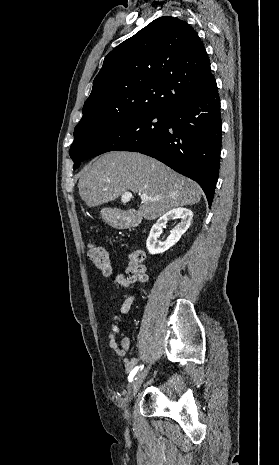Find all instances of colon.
Masks as SVG:
<instances>
[{
  "mask_svg": "<svg viewBox=\"0 0 279 465\" xmlns=\"http://www.w3.org/2000/svg\"><path fill=\"white\" fill-rule=\"evenodd\" d=\"M88 257L91 263L105 275L112 272L111 261L107 251L98 244H91L88 247ZM144 253L141 250H134L129 255L128 280L131 283H143L147 280L145 267L143 265Z\"/></svg>",
  "mask_w": 279,
  "mask_h": 465,
  "instance_id": "1",
  "label": "colon"
}]
</instances>
